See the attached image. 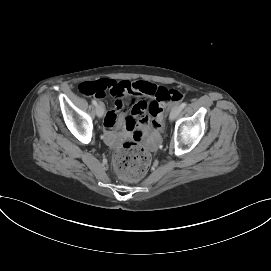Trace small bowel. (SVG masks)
Returning a JSON list of instances; mask_svg holds the SVG:
<instances>
[{
	"label": "small bowel",
	"instance_id": "small-bowel-1",
	"mask_svg": "<svg viewBox=\"0 0 271 271\" xmlns=\"http://www.w3.org/2000/svg\"><path fill=\"white\" fill-rule=\"evenodd\" d=\"M108 91L115 98L114 109L106 112L104 117L105 140L115 146L119 141L128 135H132L139 140L143 132L149 126L152 129L153 137L156 138L158 131L162 127L164 108L167 101L159 100L157 93L161 89H166L147 81L130 82L127 80L116 81L106 79ZM104 95L99 97L103 98ZM139 98L140 100L131 106V117H126L124 113H118L124 107L123 98ZM141 116L139 120H136ZM121 128L122 131L117 130Z\"/></svg>",
	"mask_w": 271,
	"mask_h": 271
}]
</instances>
